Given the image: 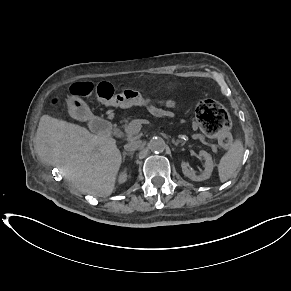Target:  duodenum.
I'll use <instances>...</instances> for the list:
<instances>
[{"label":"duodenum","instance_id":"obj_1","mask_svg":"<svg viewBox=\"0 0 291 291\" xmlns=\"http://www.w3.org/2000/svg\"><path fill=\"white\" fill-rule=\"evenodd\" d=\"M90 125L98 133H107L110 130L109 122L101 118H92Z\"/></svg>","mask_w":291,"mask_h":291}]
</instances>
